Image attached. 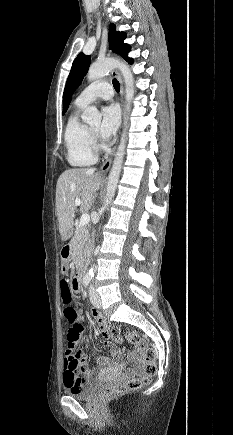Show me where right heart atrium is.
<instances>
[{
	"label": "right heart atrium",
	"instance_id": "1",
	"mask_svg": "<svg viewBox=\"0 0 233 435\" xmlns=\"http://www.w3.org/2000/svg\"><path fill=\"white\" fill-rule=\"evenodd\" d=\"M93 145H94V146H96V143H95V141H93Z\"/></svg>",
	"mask_w": 233,
	"mask_h": 435
}]
</instances>
